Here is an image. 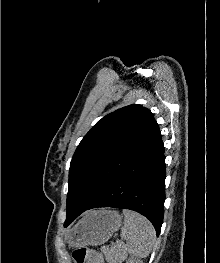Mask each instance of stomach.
<instances>
[{
	"instance_id": "1",
	"label": "stomach",
	"mask_w": 220,
	"mask_h": 263,
	"mask_svg": "<svg viewBox=\"0 0 220 263\" xmlns=\"http://www.w3.org/2000/svg\"><path fill=\"white\" fill-rule=\"evenodd\" d=\"M122 225V217L116 211L93 210L87 212L67 233L70 247L104 244Z\"/></svg>"
}]
</instances>
